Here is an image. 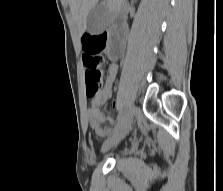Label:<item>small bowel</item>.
<instances>
[{
    "label": "small bowel",
    "instance_id": "obj_1",
    "mask_svg": "<svg viewBox=\"0 0 223 191\" xmlns=\"http://www.w3.org/2000/svg\"><path fill=\"white\" fill-rule=\"evenodd\" d=\"M117 71L118 68L116 65L112 64L109 66L108 76L105 79L104 85L102 89L94 97H92L90 101V107L87 111L89 126L101 138L108 136L113 131V128L110 126L102 127L103 122H107L111 126H117L121 123V115H119L118 118H106L102 112L103 105L112 96V85L115 80Z\"/></svg>",
    "mask_w": 223,
    "mask_h": 191
}]
</instances>
